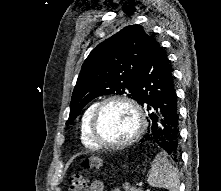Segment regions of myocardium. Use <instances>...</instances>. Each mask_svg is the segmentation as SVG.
Instances as JSON below:
<instances>
[{
  "label": "myocardium",
  "instance_id": "myocardium-1",
  "mask_svg": "<svg viewBox=\"0 0 221 191\" xmlns=\"http://www.w3.org/2000/svg\"><path fill=\"white\" fill-rule=\"evenodd\" d=\"M113 102H120L129 106L133 110L136 117V128L134 133L128 139L120 143H110L104 141L99 132V119L101 113L106 105ZM144 129H145V116L141 106L135 100L124 95H112L100 101L94 109L90 122V134L93 141L96 144H98L100 147L111 148V149H121L132 145L133 143L138 141V139L141 137L142 133L144 132Z\"/></svg>",
  "mask_w": 221,
  "mask_h": 191
}]
</instances>
